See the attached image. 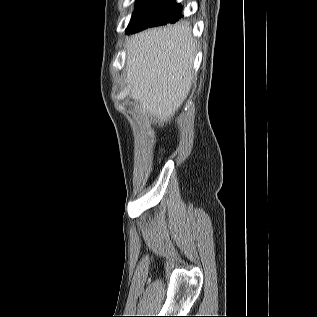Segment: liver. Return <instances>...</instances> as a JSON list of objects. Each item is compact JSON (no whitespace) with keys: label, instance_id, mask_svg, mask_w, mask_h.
Returning a JSON list of instances; mask_svg holds the SVG:
<instances>
[{"label":"liver","instance_id":"liver-1","mask_svg":"<svg viewBox=\"0 0 317 317\" xmlns=\"http://www.w3.org/2000/svg\"><path fill=\"white\" fill-rule=\"evenodd\" d=\"M125 48L131 98L162 126L191 88L196 51L191 28L176 24L148 29L131 36Z\"/></svg>","mask_w":317,"mask_h":317}]
</instances>
